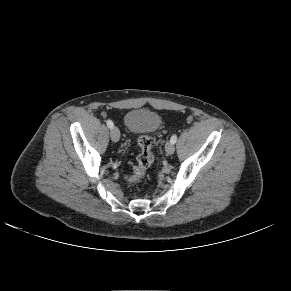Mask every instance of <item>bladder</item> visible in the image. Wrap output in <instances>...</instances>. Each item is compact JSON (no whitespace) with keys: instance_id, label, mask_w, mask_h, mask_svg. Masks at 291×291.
Here are the masks:
<instances>
[{"instance_id":"bladder-1","label":"bladder","mask_w":291,"mask_h":291,"mask_svg":"<svg viewBox=\"0 0 291 291\" xmlns=\"http://www.w3.org/2000/svg\"><path fill=\"white\" fill-rule=\"evenodd\" d=\"M124 123L132 134H146L157 130L160 116L148 109H133L126 113Z\"/></svg>"}]
</instances>
